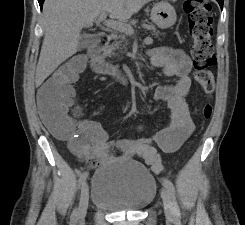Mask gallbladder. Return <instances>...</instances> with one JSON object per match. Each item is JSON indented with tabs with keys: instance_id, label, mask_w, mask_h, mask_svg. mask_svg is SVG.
Listing matches in <instances>:
<instances>
[{
	"instance_id": "bac80fb5",
	"label": "gallbladder",
	"mask_w": 245,
	"mask_h": 225,
	"mask_svg": "<svg viewBox=\"0 0 245 225\" xmlns=\"http://www.w3.org/2000/svg\"><path fill=\"white\" fill-rule=\"evenodd\" d=\"M94 42V37L90 34H83L80 37L78 49L83 50L89 47Z\"/></svg>"
}]
</instances>
